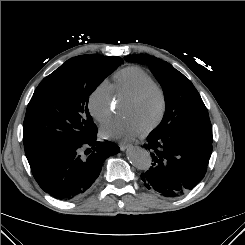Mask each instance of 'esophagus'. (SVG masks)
<instances>
[{"instance_id": "obj_1", "label": "esophagus", "mask_w": 245, "mask_h": 245, "mask_svg": "<svg viewBox=\"0 0 245 245\" xmlns=\"http://www.w3.org/2000/svg\"><path fill=\"white\" fill-rule=\"evenodd\" d=\"M129 146H130L129 144L124 143V142H121L119 144V147H120L121 151H125Z\"/></svg>"}]
</instances>
